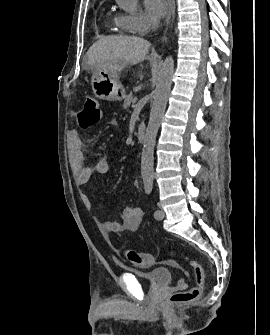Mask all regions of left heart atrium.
Returning a JSON list of instances; mask_svg holds the SVG:
<instances>
[{
    "mask_svg": "<svg viewBox=\"0 0 270 335\" xmlns=\"http://www.w3.org/2000/svg\"><path fill=\"white\" fill-rule=\"evenodd\" d=\"M145 6L148 13L155 20L156 24L158 20L164 17L168 11V5L162 0H146Z\"/></svg>",
    "mask_w": 270,
    "mask_h": 335,
    "instance_id": "left-heart-atrium-1",
    "label": "left heart atrium"
}]
</instances>
